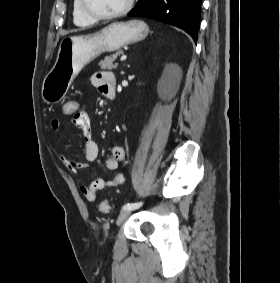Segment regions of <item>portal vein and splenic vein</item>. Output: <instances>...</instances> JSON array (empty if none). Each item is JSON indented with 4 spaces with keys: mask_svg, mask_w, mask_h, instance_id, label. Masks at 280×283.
Here are the masks:
<instances>
[{
    "mask_svg": "<svg viewBox=\"0 0 280 283\" xmlns=\"http://www.w3.org/2000/svg\"><path fill=\"white\" fill-rule=\"evenodd\" d=\"M126 58H127V56L126 55H122V57H121V61H125L126 60Z\"/></svg>",
    "mask_w": 280,
    "mask_h": 283,
    "instance_id": "1",
    "label": "portal vein and splenic vein"
}]
</instances>
